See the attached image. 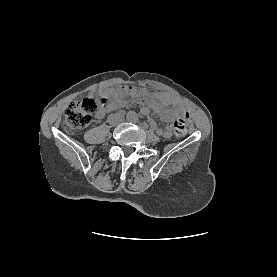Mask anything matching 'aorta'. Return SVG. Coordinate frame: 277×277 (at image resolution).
Returning a JSON list of instances; mask_svg holds the SVG:
<instances>
[{
    "label": "aorta",
    "instance_id": "aorta-1",
    "mask_svg": "<svg viewBox=\"0 0 277 277\" xmlns=\"http://www.w3.org/2000/svg\"><path fill=\"white\" fill-rule=\"evenodd\" d=\"M126 117L129 122H136L138 120V115L134 111H129Z\"/></svg>",
    "mask_w": 277,
    "mask_h": 277
}]
</instances>
